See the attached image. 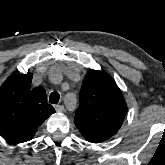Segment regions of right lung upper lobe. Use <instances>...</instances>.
<instances>
[{
	"instance_id": "1",
	"label": "right lung upper lobe",
	"mask_w": 165,
	"mask_h": 165,
	"mask_svg": "<svg viewBox=\"0 0 165 165\" xmlns=\"http://www.w3.org/2000/svg\"><path fill=\"white\" fill-rule=\"evenodd\" d=\"M32 74L9 77L0 88V134L14 143L29 141L55 109L43 88L30 89Z\"/></svg>"
}]
</instances>
